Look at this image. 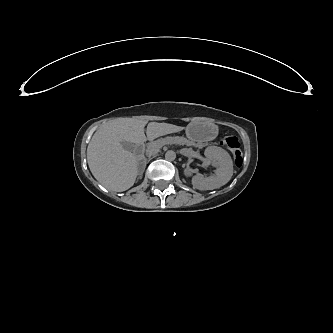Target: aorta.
Returning a JSON list of instances; mask_svg holds the SVG:
<instances>
[{
  "label": "aorta",
  "mask_w": 333,
  "mask_h": 333,
  "mask_svg": "<svg viewBox=\"0 0 333 333\" xmlns=\"http://www.w3.org/2000/svg\"><path fill=\"white\" fill-rule=\"evenodd\" d=\"M165 159L167 161H174L176 159V152L173 151V150H168L166 153H165Z\"/></svg>",
  "instance_id": "aorta-1"
}]
</instances>
